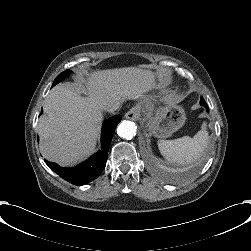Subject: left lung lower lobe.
Segmentation results:
<instances>
[{
    "mask_svg": "<svg viewBox=\"0 0 251 251\" xmlns=\"http://www.w3.org/2000/svg\"><path fill=\"white\" fill-rule=\"evenodd\" d=\"M205 107H206V110H207V111H209V108H208V106H205Z\"/></svg>",
    "mask_w": 251,
    "mask_h": 251,
    "instance_id": "1",
    "label": "left lung lower lobe"
}]
</instances>
